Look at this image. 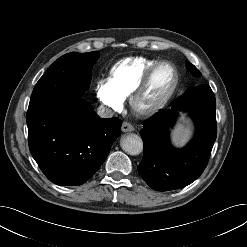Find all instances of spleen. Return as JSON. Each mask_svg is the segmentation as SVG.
Instances as JSON below:
<instances>
[{
	"instance_id": "3e777b00",
	"label": "spleen",
	"mask_w": 247,
	"mask_h": 247,
	"mask_svg": "<svg viewBox=\"0 0 247 247\" xmlns=\"http://www.w3.org/2000/svg\"><path fill=\"white\" fill-rule=\"evenodd\" d=\"M190 136V130L183 124H179L172 133V138L175 144H184Z\"/></svg>"
}]
</instances>
